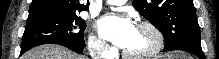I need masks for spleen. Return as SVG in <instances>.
<instances>
[{
    "mask_svg": "<svg viewBox=\"0 0 219 59\" xmlns=\"http://www.w3.org/2000/svg\"><path fill=\"white\" fill-rule=\"evenodd\" d=\"M177 59L180 57L181 59H185V56L179 53L173 54Z\"/></svg>",
    "mask_w": 219,
    "mask_h": 59,
    "instance_id": "1",
    "label": "spleen"
}]
</instances>
